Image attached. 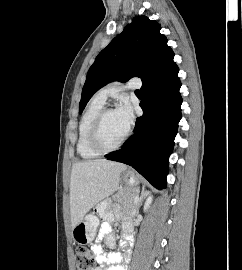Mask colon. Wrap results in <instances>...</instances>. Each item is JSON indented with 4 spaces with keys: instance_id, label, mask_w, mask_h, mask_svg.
Instances as JSON below:
<instances>
[{
    "instance_id": "obj_1",
    "label": "colon",
    "mask_w": 242,
    "mask_h": 270,
    "mask_svg": "<svg viewBox=\"0 0 242 270\" xmlns=\"http://www.w3.org/2000/svg\"><path fill=\"white\" fill-rule=\"evenodd\" d=\"M76 270H94L96 258L86 247L75 250Z\"/></svg>"
}]
</instances>
